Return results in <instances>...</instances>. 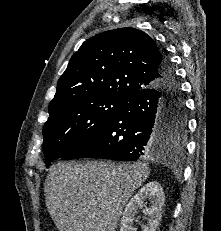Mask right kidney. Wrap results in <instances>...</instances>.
<instances>
[{
  "label": "right kidney",
  "mask_w": 221,
  "mask_h": 231,
  "mask_svg": "<svg viewBox=\"0 0 221 231\" xmlns=\"http://www.w3.org/2000/svg\"><path fill=\"white\" fill-rule=\"evenodd\" d=\"M149 200L147 207L145 201ZM165 202L163 188L157 181L145 184L138 193L126 205L121 220L120 231H132L133 221L138 208L144 207V213L148 216L147 225L142 227V231H156L162 218V207Z\"/></svg>",
  "instance_id": "right-kidney-1"
}]
</instances>
